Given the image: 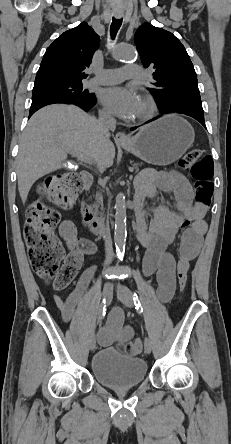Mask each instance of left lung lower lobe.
Returning <instances> with one entry per match:
<instances>
[{
  "instance_id": "obj_1",
  "label": "left lung lower lobe",
  "mask_w": 231,
  "mask_h": 444,
  "mask_svg": "<svg viewBox=\"0 0 231 444\" xmlns=\"http://www.w3.org/2000/svg\"><path fill=\"white\" fill-rule=\"evenodd\" d=\"M165 113V112H163ZM177 113H181V114H185L188 116L193 117L194 119H196L197 121H199L204 127H205V121H204V114H200V113H193V112H177ZM156 118H154L153 120H155ZM137 127H133L131 128L132 130L136 129ZM206 128V127H205Z\"/></svg>"
}]
</instances>
